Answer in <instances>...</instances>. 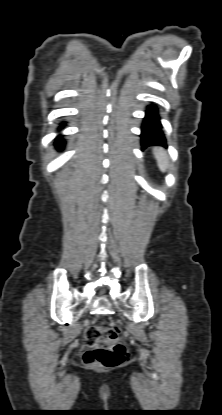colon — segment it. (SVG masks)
I'll use <instances>...</instances> for the list:
<instances>
[{
  "label": "colon",
  "instance_id": "colon-1",
  "mask_svg": "<svg viewBox=\"0 0 222 415\" xmlns=\"http://www.w3.org/2000/svg\"><path fill=\"white\" fill-rule=\"evenodd\" d=\"M120 329L110 323L107 325H90L84 333L88 349L84 352L83 362L88 366L115 368L127 359L128 352L124 344L117 342ZM102 345L96 346V342Z\"/></svg>",
  "mask_w": 222,
  "mask_h": 415
}]
</instances>
